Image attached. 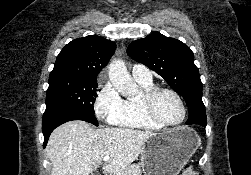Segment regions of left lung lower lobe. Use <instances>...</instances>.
Instances as JSON below:
<instances>
[{"mask_svg":"<svg viewBox=\"0 0 251 175\" xmlns=\"http://www.w3.org/2000/svg\"><path fill=\"white\" fill-rule=\"evenodd\" d=\"M189 118L187 124H206V112L205 107L200 105H188Z\"/></svg>","mask_w":251,"mask_h":175,"instance_id":"1","label":"left lung lower lobe"}]
</instances>
